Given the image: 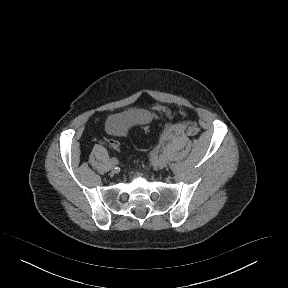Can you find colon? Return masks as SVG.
I'll return each mask as SVG.
<instances>
[{"instance_id": "colon-1", "label": "colon", "mask_w": 288, "mask_h": 288, "mask_svg": "<svg viewBox=\"0 0 288 288\" xmlns=\"http://www.w3.org/2000/svg\"><path fill=\"white\" fill-rule=\"evenodd\" d=\"M146 130V128H145ZM109 146L113 149L119 150L120 149V144L116 140H109Z\"/></svg>"}]
</instances>
